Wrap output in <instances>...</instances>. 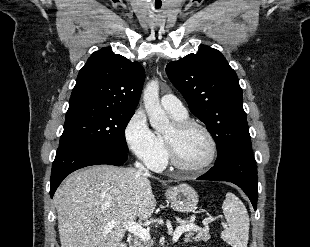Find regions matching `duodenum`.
<instances>
[{"label":"duodenum","mask_w":310,"mask_h":247,"mask_svg":"<svg viewBox=\"0 0 310 247\" xmlns=\"http://www.w3.org/2000/svg\"><path fill=\"white\" fill-rule=\"evenodd\" d=\"M118 247H127L125 243H120Z\"/></svg>","instance_id":"obj_1"}]
</instances>
